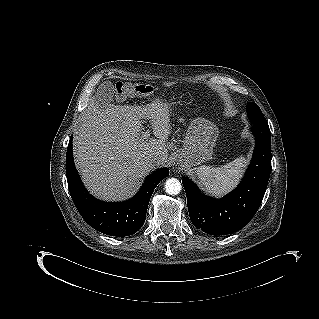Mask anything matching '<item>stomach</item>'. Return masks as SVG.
<instances>
[{"label": "stomach", "instance_id": "stomach-1", "mask_svg": "<svg viewBox=\"0 0 319 319\" xmlns=\"http://www.w3.org/2000/svg\"><path fill=\"white\" fill-rule=\"evenodd\" d=\"M218 128L204 118L194 119L187 130L184 145L178 154V164L192 168L209 161L218 138Z\"/></svg>", "mask_w": 319, "mask_h": 319}]
</instances>
